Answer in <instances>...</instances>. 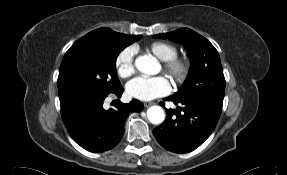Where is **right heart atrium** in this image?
Here are the masks:
<instances>
[{
	"instance_id": "1",
	"label": "right heart atrium",
	"mask_w": 287,
	"mask_h": 175,
	"mask_svg": "<svg viewBox=\"0 0 287 175\" xmlns=\"http://www.w3.org/2000/svg\"><path fill=\"white\" fill-rule=\"evenodd\" d=\"M135 48L128 46L119 51L115 58V68L119 77L126 79L135 72Z\"/></svg>"
}]
</instances>
